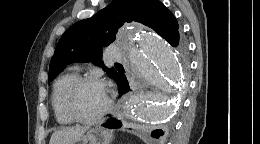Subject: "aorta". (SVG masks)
I'll list each match as a JSON object with an SVG mask.
<instances>
[{"label":"aorta","instance_id":"1","mask_svg":"<svg viewBox=\"0 0 260 144\" xmlns=\"http://www.w3.org/2000/svg\"><path fill=\"white\" fill-rule=\"evenodd\" d=\"M122 45L129 69L141 80L162 90L177 92L184 87L183 66L175 50L153 31L141 27L128 33ZM176 106V97L140 92L130 99L127 110L134 122L155 124L169 119Z\"/></svg>","mask_w":260,"mask_h":144}]
</instances>
